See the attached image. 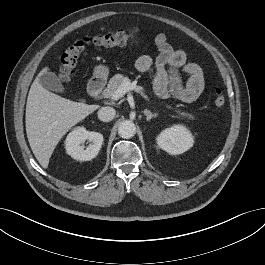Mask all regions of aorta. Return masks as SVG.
Masks as SVG:
<instances>
[{
    "label": "aorta",
    "mask_w": 265,
    "mask_h": 265,
    "mask_svg": "<svg viewBox=\"0 0 265 265\" xmlns=\"http://www.w3.org/2000/svg\"><path fill=\"white\" fill-rule=\"evenodd\" d=\"M135 124L130 120L122 121L118 127V133L121 137L128 139L135 135Z\"/></svg>",
    "instance_id": "1"
}]
</instances>
